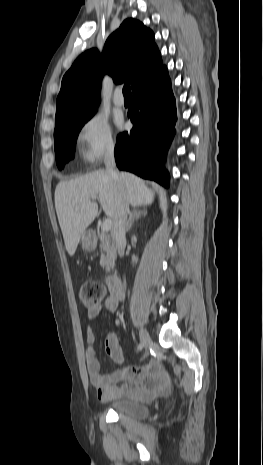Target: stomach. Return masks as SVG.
<instances>
[{"mask_svg": "<svg viewBox=\"0 0 263 465\" xmlns=\"http://www.w3.org/2000/svg\"><path fill=\"white\" fill-rule=\"evenodd\" d=\"M96 244H97V240H96L95 235L92 232L87 231L82 235L81 247L83 250L91 251L95 249Z\"/></svg>", "mask_w": 263, "mask_h": 465, "instance_id": "stomach-1", "label": "stomach"}]
</instances>
